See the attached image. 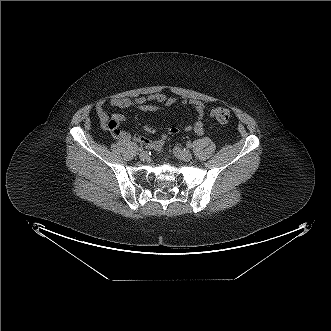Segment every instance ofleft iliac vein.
Here are the masks:
<instances>
[{
	"label": "left iliac vein",
	"instance_id": "1",
	"mask_svg": "<svg viewBox=\"0 0 331 331\" xmlns=\"http://www.w3.org/2000/svg\"><path fill=\"white\" fill-rule=\"evenodd\" d=\"M173 153L180 160H183V161H186V162H189V161L192 160V154L189 151H187L185 149H182L178 146H175L173 148Z\"/></svg>",
	"mask_w": 331,
	"mask_h": 331
}]
</instances>
